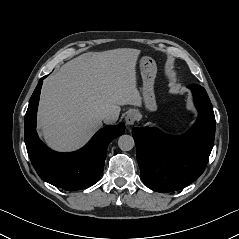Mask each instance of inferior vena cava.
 <instances>
[{"label":"inferior vena cava","mask_w":239,"mask_h":239,"mask_svg":"<svg viewBox=\"0 0 239 239\" xmlns=\"http://www.w3.org/2000/svg\"><path fill=\"white\" fill-rule=\"evenodd\" d=\"M99 118L103 121H110L112 120L113 116L110 113H102L99 115Z\"/></svg>","instance_id":"602c4592"}]
</instances>
